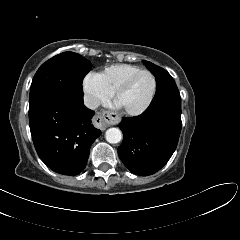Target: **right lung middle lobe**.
<instances>
[{"mask_svg":"<svg viewBox=\"0 0 240 240\" xmlns=\"http://www.w3.org/2000/svg\"><path fill=\"white\" fill-rule=\"evenodd\" d=\"M91 63L74 52H64L46 61L36 72L30 90V108L54 95L83 96L82 81Z\"/></svg>","mask_w":240,"mask_h":240,"instance_id":"1","label":"right lung middle lobe"}]
</instances>
